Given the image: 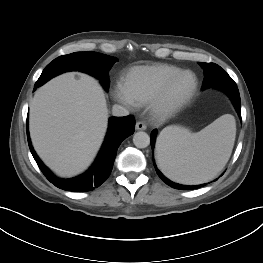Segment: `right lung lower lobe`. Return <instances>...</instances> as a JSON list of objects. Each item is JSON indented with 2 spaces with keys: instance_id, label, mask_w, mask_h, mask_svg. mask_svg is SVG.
I'll return each mask as SVG.
<instances>
[{
  "instance_id": "98d812e1",
  "label": "right lung lower lobe",
  "mask_w": 263,
  "mask_h": 263,
  "mask_svg": "<svg viewBox=\"0 0 263 263\" xmlns=\"http://www.w3.org/2000/svg\"><path fill=\"white\" fill-rule=\"evenodd\" d=\"M45 82H36L35 87H40ZM135 120L133 116L112 117L104 144L96 161L84 174L72 179L56 177L36 155L29 138L28 125L27 137L30 151L45 177L56 187L67 191H91L100 186L110 175L117 149L121 142L134 133Z\"/></svg>"
}]
</instances>
